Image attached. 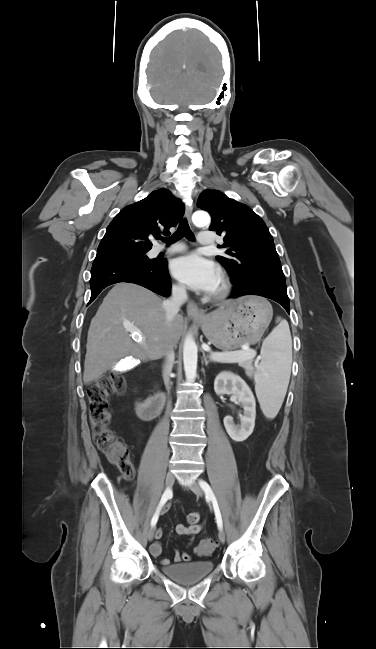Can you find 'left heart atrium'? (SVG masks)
Wrapping results in <instances>:
<instances>
[{"label":"left heart atrium","mask_w":376,"mask_h":649,"mask_svg":"<svg viewBox=\"0 0 376 649\" xmlns=\"http://www.w3.org/2000/svg\"><path fill=\"white\" fill-rule=\"evenodd\" d=\"M171 271L179 282L197 291H213L220 280L218 266L197 254L175 259Z\"/></svg>","instance_id":"39dd6f15"}]
</instances>
